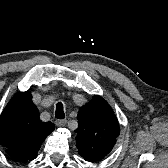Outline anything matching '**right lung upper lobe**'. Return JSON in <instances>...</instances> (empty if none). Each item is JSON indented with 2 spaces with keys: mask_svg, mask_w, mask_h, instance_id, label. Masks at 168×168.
<instances>
[{
  "mask_svg": "<svg viewBox=\"0 0 168 168\" xmlns=\"http://www.w3.org/2000/svg\"><path fill=\"white\" fill-rule=\"evenodd\" d=\"M29 91L15 95L0 116V145L16 161L27 162L37 157L45 138L55 126L42 122Z\"/></svg>",
  "mask_w": 168,
  "mask_h": 168,
  "instance_id": "right-lung-upper-lobe-1",
  "label": "right lung upper lobe"
}]
</instances>
